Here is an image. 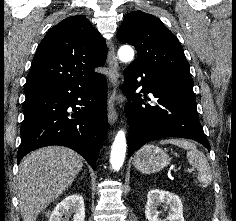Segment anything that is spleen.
<instances>
[{"mask_svg":"<svg viewBox=\"0 0 236 221\" xmlns=\"http://www.w3.org/2000/svg\"><path fill=\"white\" fill-rule=\"evenodd\" d=\"M168 143L187 150V159L189 163L198 170V181L204 185L211 183L212 174L208 160L204 153L196 148V145L193 142L184 139H167L160 141V144Z\"/></svg>","mask_w":236,"mask_h":221,"instance_id":"1","label":"spleen"}]
</instances>
